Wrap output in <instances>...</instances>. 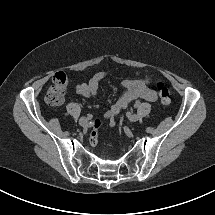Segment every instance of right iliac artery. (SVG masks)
Returning a JSON list of instances; mask_svg holds the SVG:
<instances>
[{
    "label": "right iliac artery",
    "instance_id": "1",
    "mask_svg": "<svg viewBox=\"0 0 215 215\" xmlns=\"http://www.w3.org/2000/svg\"><path fill=\"white\" fill-rule=\"evenodd\" d=\"M87 118H88V119H91V118H92V115H91V114H88Z\"/></svg>",
    "mask_w": 215,
    "mask_h": 215
}]
</instances>
